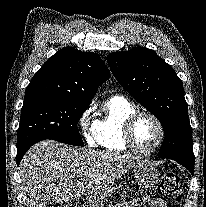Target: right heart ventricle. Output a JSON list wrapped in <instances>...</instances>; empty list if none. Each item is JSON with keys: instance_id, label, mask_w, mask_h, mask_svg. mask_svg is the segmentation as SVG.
Listing matches in <instances>:
<instances>
[{"instance_id": "e07e8e85", "label": "right heart ventricle", "mask_w": 206, "mask_h": 207, "mask_svg": "<svg viewBox=\"0 0 206 207\" xmlns=\"http://www.w3.org/2000/svg\"><path fill=\"white\" fill-rule=\"evenodd\" d=\"M135 111L136 106L122 96H113L107 100L102 117L97 121V144L109 152H127L122 128L126 119Z\"/></svg>"}]
</instances>
